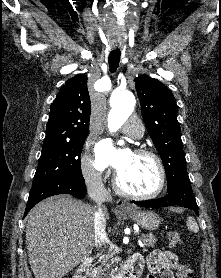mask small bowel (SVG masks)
Wrapping results in <instances>:
<instances>
[{
    "label": "small bowel",
    "instance_id": "small-bowel-1",
    "mask_svg": "<svg viewBox=\"0 0 221 278\" xmlns=\"http://www.w3.org/2000/svg\"><path fill=\"white\" fill-rule=\"evenodd\" d=\"M142 269L144 260L141 258L134 259ZM149 270L148 278H174L173 271L180 270L187 265L181 264L176 254L169 251L155 250L150 253L146 259Z\"/></svg>",
    "mask_w": 221,
    "mask_h": 278
}]
</instances>
